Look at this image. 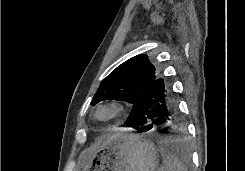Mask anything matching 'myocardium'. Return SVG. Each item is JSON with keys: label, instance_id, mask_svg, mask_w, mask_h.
Here are the masks:
<instances>
[{"label": "myocardium", "instance_id": "obj_1", "mask_svg": "<svg viewBox=\"0 0 245 171\" xmlns=\"http://www.w3.org/2000/svg\"><path fill=\"white\" fill-rule=\"evenodd\" d=\"M103 111L108 112V114L104 117L100 115ZM123 112L124 107L122 104H120L117 101H110L99 105V107L96 110L95 116L100 121L108 122L118 118L122 115Z\"/></svg>", "mask_w": 245, "mask_h": 171}]
</instances>
